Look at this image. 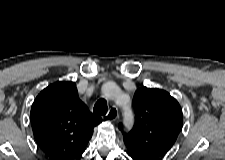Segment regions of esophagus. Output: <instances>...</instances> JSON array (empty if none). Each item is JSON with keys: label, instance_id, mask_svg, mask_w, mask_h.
Returning <instances> with one entry per match:
<instances>
[{"label": "esophagus", "instance_id": "esophagus-1", "mask_svg": "<svg viewBox=\"0 0 225 160\" xmlns=\"http://www.w3.org/2000/svg\"><path fill=\"white\" fill-rule=\"evenodd\" d=\"M118 117H119L118 109L115 106H112L105 116V118H107L110 121H115Z\"/></svg>", "mask_w": 225, "mask_h": 160}]
</instances>
